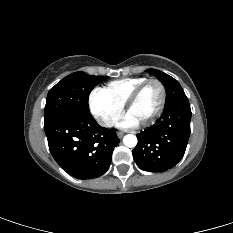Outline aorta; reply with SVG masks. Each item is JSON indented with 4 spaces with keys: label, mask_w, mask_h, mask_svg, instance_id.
<instances>
[{
    "label": "aorta",
    "mask_w": 233,
    "mask_h": 233,
    "mask_svg": "<svg viewBox=\"0 0 233 233\" xmlns=\"http://www.w3.org/2000/svg\"><path fill=\"white\" fill-rule=\"evenodd\" d=\"M123 143L129 148H133L137 145V138L132 134L125 135L123 138Z\"/></svg>",
    "instance_id": "aorta-1"
}]
</instances>
